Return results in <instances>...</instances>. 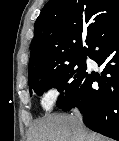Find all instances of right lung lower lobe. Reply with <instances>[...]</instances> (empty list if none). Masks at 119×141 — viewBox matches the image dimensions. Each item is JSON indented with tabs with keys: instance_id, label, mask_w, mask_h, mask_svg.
<instances>
[{
	"instance_id": "98d812e1",
	"label": "right lung lower lobe",
	"mask_w": 119,
	"mask_h": 141,
	"mask_svg": "<svg viewBox=\"0 0 119 141\" xmlns=\"http://www.w3.org/2000/svg\"><path fill=\"white\" fill-rule=\"evenodd\" d=\"M88 56L104 65L102 77L86 72L69 101L58 107L69 111L76 106L88 128L119 141V20L105 27Z\"/></svg>"
}]
</instances>
